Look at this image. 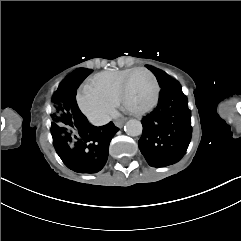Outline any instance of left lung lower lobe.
<instances>
[{
	"mask_svg": "<svg viewBox=\"0 0 241 241\" xmlns=\"http://www.w3.org/2000/svg\"><path fill=\"white\" fill-rule=\"evenodd\" d=\"M178 82L163 87L153 112L142 120L143 133L139 149L152 167L178 162L191 139V112Z\"/></svg>",
	"mask_w": 241,
	"mask_h": 241,
	"instance_id": "left-lung-lower-lobe-1",
	"label": "left lung lower lobe"
}]
</instances>
